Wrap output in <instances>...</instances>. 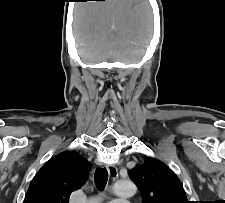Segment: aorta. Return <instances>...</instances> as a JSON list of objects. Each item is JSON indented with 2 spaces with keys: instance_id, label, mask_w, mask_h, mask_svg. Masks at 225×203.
<instances>
[{
  "instance_id": "1",
  "label": "aorta",
  "mask_w": 225,
  "mask_h": 203,
  "mask_svg": "<svg viewBox=\"0 0 225 203\" xmlns=\"http://www.w3.org/2000/svg\"><path fill=\"white\" fill-rule=\"evenodd\" d=\"M113 192L119 197H129L135 194L136 186L130 180L117 181L113 185ZM98 200L94 199L91 203H97Z\"/></svg>"
}]
</instances>
